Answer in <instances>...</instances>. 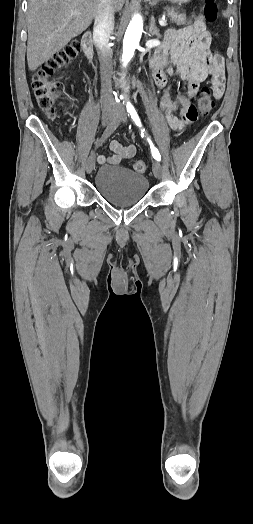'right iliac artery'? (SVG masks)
Segmentation results:
<instances>
[{"label":"right iliac artery","instance_id":"82829eb1","mask_svg":"<svg viewBox=\"0 0 253 524\" xmlns=\"http://www.w3.org/2000/svg\"><path fill=\"white\" fill-rule=\"evenodd\" d=\"M119 124H120V119L117 117L114 118L113 121L104 130L102 136L96 140L94 150H96L100 145H102L103 142L106 141V139L117 129Z\"/></svg>","mask_w":253,"mask_h":524}]
</instances>
